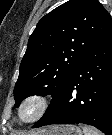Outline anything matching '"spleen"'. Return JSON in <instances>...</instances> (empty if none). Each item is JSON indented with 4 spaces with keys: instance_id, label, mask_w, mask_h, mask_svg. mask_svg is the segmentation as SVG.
<instances>
[{
    "instance_id": "3e777b00",
    "label": "spleen",
    "mask_w": 112,
    "mask_h": 135,
    "mask_svg": "<svg viewBox=\"0 0 112 135\" xmlns=\"http://www.w3.org/2000/svg\"><path fill=\"white\" fill-rule=\"evenodd\" d=\"M83 132H84V135H103L101 132H99L95 128L89 127V126H84Z\"/></svg>"
}]
</instances>
